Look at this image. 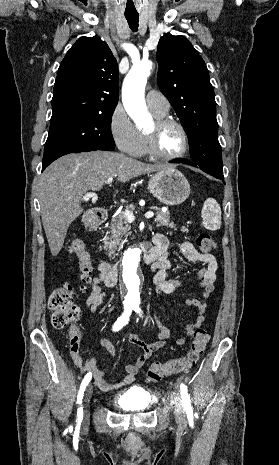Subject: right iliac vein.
Wrapping results in <instances>:
<instances>
[{
	"label": "right iliac vein",
	"mask_w": 279,
	"mask_h": 465,
	"mask_svg": "<svg viewBox=\"0 0 279 465\" xmlns=\"http://www.w3.org/2000/svg\"><path fill=\"white\" fill-rule=\"evenodd\" d=\"M91 396H92V387L91 385H89L86 389V392H85V395H84V398H83V402H84V406L86 407L91 399ZM89 421V414L87 411H85L84 413V420H83V423L84 424H87Z\"/></svg>",
	"instance_id": "63e3f726"
}]
</instances>
